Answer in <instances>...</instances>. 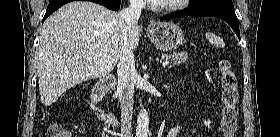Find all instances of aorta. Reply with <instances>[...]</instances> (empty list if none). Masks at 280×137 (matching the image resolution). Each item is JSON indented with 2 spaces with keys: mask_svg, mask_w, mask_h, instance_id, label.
Wrapping results in <instances>:
<instances>
[{
  "mask_svg": "<svg viewBox=\"0 0 280 137\" xmlns=\"http://www.w3.org/2000/svg\"><path fill=\"white\" fill-rule=\"evenodd\" d=\"M149 117L146 109H141L137 117L136 137H148Z\"/></svg>",
  "mask_w": 280,
  "mask_h": 137,
  "instance_id": "762f6f07",
  "label": "aorta"
}]
</instances>
